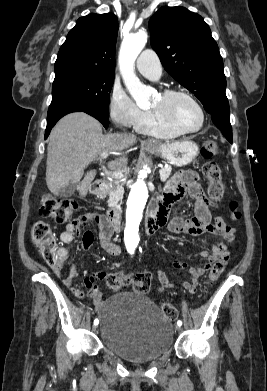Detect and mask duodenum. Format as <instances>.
Instances as JSON below:
<instances>
[{"mask_svg":"<svg viewBox=\"0 0 267 391\" xmlns=\"http://www.w3.org/2000/svg\"><path fill=\"white\" fill-rule=\"evenodd\" d=\"M106 182L103 179H98L91 185V193L93 195H102L106 190ZM121 212L118 208H113L107 213V223L111 231L118 232L120 230ZM164 224V219L158 209L153 210L147 217L145 229L148 234L156 232Z\"/></svg>","mask_w":267,"mask_h":391,"instance_id":"410a0bca","label":"duodenum"}]
</instances>
